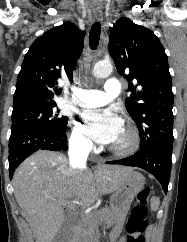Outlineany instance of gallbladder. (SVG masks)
Segmentation results:
<instances>
[{
    "instance_id": "obj_1",
    "label": "gallbladder",
    "mask_w": 187,
    "mask_h": 242,
    "mask_svg": "<svg viewBox=\"0 0 187 242\" xmlns=\"http://www.w3.org/2000/svg\"><path fill=\"white\" fill-rule=\"evenodd\" d=\"M73 220H74V215L72 213H67L65 215L64 222L52 242H69L70 227L73 224Z\"/></svg>"
}]
</instances>
